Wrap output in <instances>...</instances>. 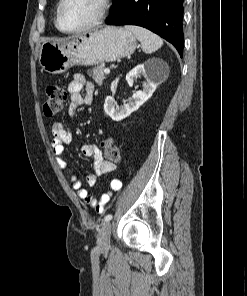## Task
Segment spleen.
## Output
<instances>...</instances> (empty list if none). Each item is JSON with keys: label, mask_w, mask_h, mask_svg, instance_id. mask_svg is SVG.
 <instances>
[{"label": "spleen", "mask_w": 247, "mask_h": 296, "mask_svg": "<svg viewBox=\"0 0 247 296\" xmlns=\"http://www.w3.org/2000/svg\"><path fill=\"white\" fill-rule=\"evenodd\" d=\"M125 29L132 32L141 42L142 50L147 53H153L163 45V40L148 29L139 26L127 25Z\"/></svg>", "instance_id": "3e777b00"}]
</instances>
